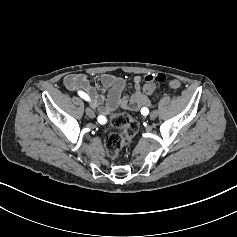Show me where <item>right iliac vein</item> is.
<instances>
[{
  "label": "right iliac vein",
  "mask_w": 237,
  "mask_h": 237,
  "mask_svg": "<svg viewBox=\"0 0 237 237\" xmlns=\"http://www.w3.org/2000/svg\"><path fill=\"white\" fill-rule=\"evenodd\" d=\"M86 114L88 117L90 118H94L95 117V112L91 109V108H86Z\"/></svg>",
  "instance_id": "1"
}]
</instances>
